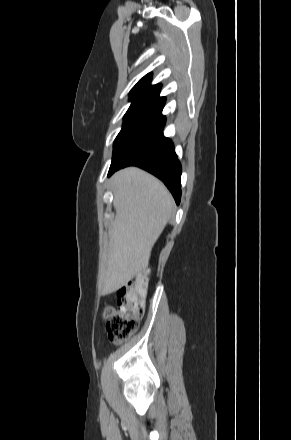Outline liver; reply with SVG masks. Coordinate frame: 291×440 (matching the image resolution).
Segmentation results:
<instances>
[{"label":"liver","instance_id":"obj_1","mask_svg":"<svg viewBox=\"0 0 291 440\" xmlns=\"http://www.w3.org/2000/svg\"><path fill=\"white\" fill-rule=\"evenodd\" d=\"M112 182L116 216L109 229L110 251L103 295L125 286L148 266L151 250L174 205L165 185L137 167L117 172Z\"/></svg>","mask_w":291,"mask_h":440}]
</instances>
